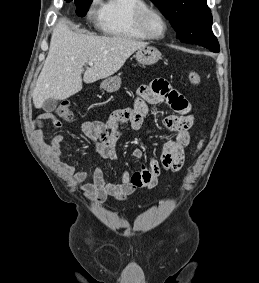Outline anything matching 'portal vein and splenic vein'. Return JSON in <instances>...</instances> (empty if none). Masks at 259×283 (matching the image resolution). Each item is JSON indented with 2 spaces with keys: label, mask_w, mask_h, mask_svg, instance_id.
Here are the masks:
<instances>
[{
  "label": "portal vein and splenic vein",
  "mask_w": 259,
  "mask_h": 283,
  "mask_svg": "<svg viewBox=\"0 0 259 283\" xmlns=\"http://www.w3.org/2000/svg\"><path fill=\"white\" fill-rule=\"evenodd\" d=\"M88 65H89V66H93V62L90 61V62L88 63Z\"/></svg>",
  "instance_id": "portal-vein-and-splenic-vein-1"
}]
</instances>
